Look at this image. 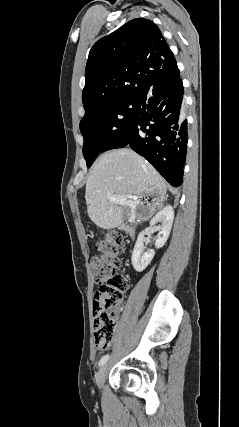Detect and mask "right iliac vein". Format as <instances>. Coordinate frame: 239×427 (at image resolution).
Here are the masks:
<instances>
[{
  "label": "right iliac vein",
  "mask_w": 239,
  "mask_h": 427,
  "mask_svg": "<svg viewBox=\"0 0 239 427\" xmlns=\"http://www.w3.org/2000/svg\"><path fill=\"white\" fill-rule=\"evenodd\" d=\"M106 371H107V365H103L97 373L96 384H97L98 388H102V386H103Z\"/></svg>",
  "instance_id": "63e3f726"
}]
</instances>
